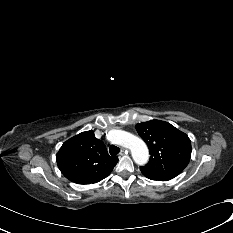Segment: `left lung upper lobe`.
I'll use <instances>...</instances> for the list:
<instances>
[{"label": "left lung upper lobe", "mask_w": 233, "mask_h": 233, "mask_svg": "<svg viewBox=\"0 0 233 233\" xmlns=\"http://www.w3.org/2000/svg\"><path fill=\"white\" fill-rule=\"evenodd\" d=\"M135 128L146 142L151 155L149 162L140 167L145 177L167 181L185 169L191 157L188 135L160 120L138 123Z\"/></svg>", "instance_id": "left-lung-upper-lobe-1"}]
</instances>
